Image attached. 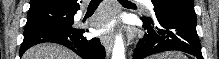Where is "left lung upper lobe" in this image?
<instances>
[{"label":"left lung upper lobe","instance_id":"left-lung-upper-lobe-1","mask_svg":"<svg viewBox=\"0 0 219 59\" xmlns=\"http://www.w3.org/2000/svg\"><path fill=\"white\" fill-rule=\"evenodd\" d=\"M152 3L154 5V11L155 14L162 11H173L178 9L179 7L188 4L193 3V0H152ZM143 19H151L150 17H143Z\"/></svg>","mask_w":219,"mask_h":59}]
</instances>
